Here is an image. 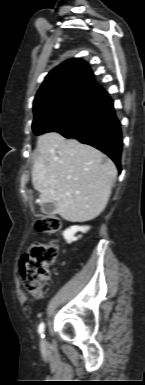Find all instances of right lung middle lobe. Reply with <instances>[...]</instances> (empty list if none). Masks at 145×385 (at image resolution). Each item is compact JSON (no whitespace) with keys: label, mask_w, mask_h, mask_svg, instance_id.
Masks as SVG:
<instances>
[{"label":"right lung middle lobe","mask_w":145,"mask_h":385,"mask_svg":"<svg viewBox=\"0 0 145 385\" xmlns=\"http://www.w3.org/2000/svg\"><path fill=\"white\" fill-rule=\"evenodd\" d=\"M101 93L88 90H74L59 94L34 108L33 131L36 135L56 132L87 108Z\"/></svg>","instance_id":"obj_1"}]
</instances>
